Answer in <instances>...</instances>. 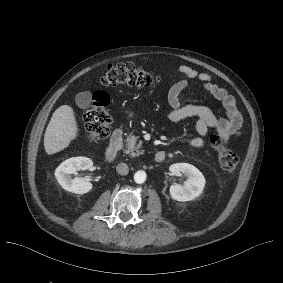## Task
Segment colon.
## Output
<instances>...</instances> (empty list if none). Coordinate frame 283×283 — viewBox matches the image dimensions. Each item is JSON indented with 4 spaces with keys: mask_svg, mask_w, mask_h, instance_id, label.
Here are the masks:
<instances>
[{
    "mask_svg": "<svg viewBox=\"0 0 283 283\" xmlns=\"http://www.w3.org/2000/svg\"><path fill=\"white\" fill-rule=\"evenodd\" d=\"M158 82V76L132 63L110 65L100 79L103 87L118 85L149 87ZM108 104V95L105 92H97L84 114L86 135L91 143L98 142L109 134L111 117L106 109ZM210 144L217 153L221 170L226 174H232L239 162L237 154L225 146L220 135L211 136Z\"/></svg>",
    "mask_w": 283,
    "mask_h": 283,
    "instance_id": "5ec220e1",
    "label": "colon"
}]
</instances>
